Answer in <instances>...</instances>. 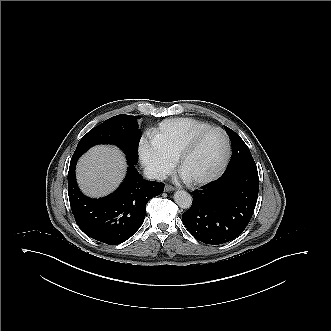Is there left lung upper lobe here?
I'll return each mask as SVG.
<instances>
[{
    "label": "left lung upper lobe",
    "mask_w": 331,
    "mask_h": 331,
    "mask_svg": "<svg viewBox=\"0 0 331 331\" xmlns=\"http://www.w3.org/2000/svg\"><path fill=\"white\" fill-rule=\"evenodd\" d=\"M225 130L231 140L232 155L225 173L237 170H247L257 172L254 159L249 148L233 130L225 126Z\"/></svg>",
    "instance_id": "1"
}]
</instances>
